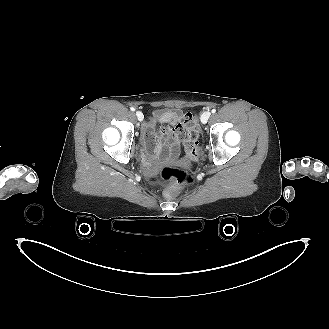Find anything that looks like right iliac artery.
<instances>
[{
	"label": "right iliac artery",
	"mask_w": 329,
	"mask_h": 329,
	"mask_svg": "<svg viewBox=\"0 0 329 329\" xmlns=\"http://www.w3.org/2000/svg\"><path fill=\"white\" fill-rule=\"evenodd\" d=\"M131 111H135V108L131 107Z\"/></svg>",
	"instance_id": "obj_1"
}]
</instances>
